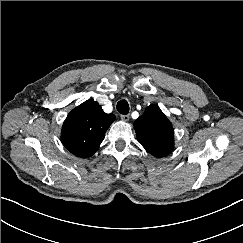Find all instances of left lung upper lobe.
Listing matches in <instances>:
<instances>
[{
	"mask_svg": "<svg viewBox=\"0 0 243 243\" xmlns=\"http://www.w3.org/2000/svg\"><path fill=\"white\" fill-rule=\"evenodd\" d=\"M138 142L157 158L170 154L174 148L173 128L161 109L152 104L134 122Z\"/></svg>",
	"mask_w": 243,
	"mask_h": 243,
	"instance_id": "left-lung-upper-lobe-1",
	"label": "left lung upper lobe"
}]
</instances>
